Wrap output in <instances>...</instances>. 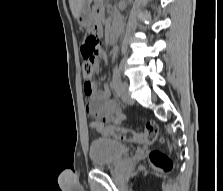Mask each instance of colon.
<instances>
[{
    "instance_id": "5ec220e1",
    "label": "colon",
    "mask_w": 223,
    "mask_h": 191,
    "mask_svg": "<svg viewBox=\"0 0 223 191\" xmlns=\"http://www.w3.org/2000/svg\"><path fill=\"white\" fill-rule=\"evenodd\" d=\"M101 47V41L96 34L85 38L81 45L83 62L81 65L83 78L87 83L93 82V75L96 65V57ZM103 135L112 136L118 140L136 144H152L158 137V127L155 122L148 121L144 132H138L118 126H108L103 129ZM161 141L163 139L161 138ZM149 162L152 168L159 172L170 173L173 169L171 158L161 150H152L149 154Z\"/></svg>"
}]
</instances>
